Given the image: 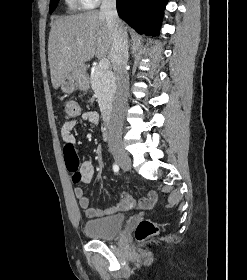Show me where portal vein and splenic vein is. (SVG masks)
I'll return each instance as SVG.
<instances>
[{
	"instance_id": "portal-vein-and-splenic-vein-1",
	"label": "portal vein and splenic vein",
	"mask_w": 247,
	"mask_h": 280,
	"mask_svg": "<svg viewBox=\"0 0 247 280\" xmlns=\"http://www.w3.org/2000/svg\"><path fill=\"white\" fill-rule=\"evenodd\" d=\"M98 66L101 69H108L109 68V60L108 59H101L99 61Z\"/></svg>"
}]
</instances>
